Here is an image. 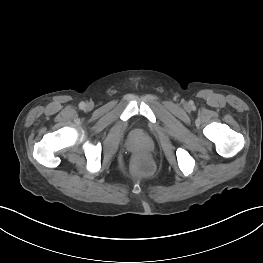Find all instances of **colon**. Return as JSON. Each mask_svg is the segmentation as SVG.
Returning <instances> with one entry per match:
<instances>
[{
  "instance_id": "obj_1",
  "label": "colon",
  "mask_w": 263,
  "mask_h": 263,
  "mask_svg": "<svg viewBox=\"0 0 263 263\" xmlns=\"http://www.w3.org/2000/svg\"><path fill=\"white\" fill-rule=\"evenodd\" d=\"M133 168L139 174H148L152 170V164L147 159H138Z\"/></svg>"
}]
</instances>
